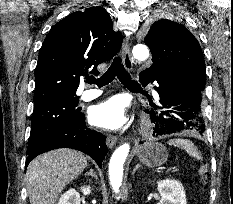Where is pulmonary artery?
Segmentation results:
<instances>
[{
    "label": "pulmonary artery",
    "instance_id": "obj_1",
    "mask_svg": "<svg viewBox=\"0 0 233 204\" xmlns=\"http://www.w3.org/2000/svg\"><path fill=\"white\" fill-rule=\"evenodd\" d=\"M102 90L101 89H89V90H85L81 96H80V100L82 101H91L97 97H99L102 94Z\"/></svg>",
    "mask_w": 233,
    "mask_h": 204
}]
</instances>
